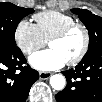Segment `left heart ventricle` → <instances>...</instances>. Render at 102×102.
I'll return each instance as SVG.
<instances>
[{
    "instance_id": "1",
    "label": "left heart ventricle",
    "mask_w": 102,
    "mask_h": 102,
    "mask_svg": "<svg viewBox=\"0 0 102 102\" xmlns=\"http://www.w3.org/2000/svg\"><path fill=\"white\" fill-rule=\"evenodd\" d=\"M84 45V33L81 29H76L66 38L54 41L49 47L55 50L66 62L75 58Z\"/></svg>"
}]
</instances>
